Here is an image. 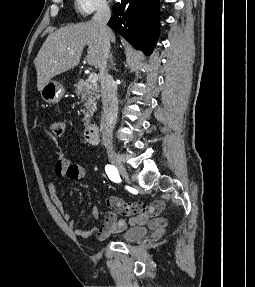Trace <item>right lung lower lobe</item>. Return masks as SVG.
<instances>
[{
	"label": "right lung lower lobe",
	"instance_id": "98d812e1",
	"mask_svg": "<svg viewBox=\"0 0 255 287\" xmlns=\"http://www.w3.org/2000/svg\"><path fill=\"white\" fill-rule=\"evenodd\" d=\"M108 26L150 55L159 36V0H121L114 4Z\"/></svg>",
	"mask_w": 255,
	"mask_h": 287
}]
</instances>
